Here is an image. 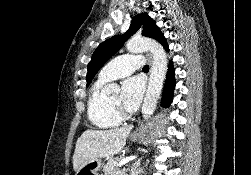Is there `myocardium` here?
<instances>
[{
    "instance_id": "myocardium-1",
    "label": "myocardium",
    "mask_w": 251,
    "mask_h": 175,
    "mask_svg": "<svg viewBox=\"0 0 251 175\" xmlns=\"http://www.w3.org/2000/svg\"><path fill=\"white\" fill-rule=\"evenodd\" d=\"M108 103H109L110 109H111L114 113H118V111H119L118 108H114L110 102H108Z\"/></svg>"
}]
</instances>
